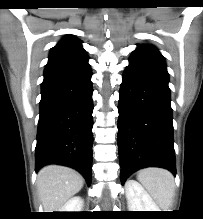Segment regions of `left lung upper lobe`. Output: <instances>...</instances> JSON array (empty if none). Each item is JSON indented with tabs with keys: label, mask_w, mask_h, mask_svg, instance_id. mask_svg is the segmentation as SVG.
Returning a JSON list of instances; mask_svg holds the SVG:
<instances>
[{
	"label": "left lung upper lobe",
	"mask_w": 203,
	"mask_h": 219,
	"mask_svg": "<svg viewBox=\"0 0 203 219\" xmlns=\"http://www.w3.org/2000/svg\"><path fill=\"white\" fill-rule=\"evenodd\" d=\"M131 57L144 58L165 65L164 57L152 45L138 44L137 49L133 51V55H131Z\"/></svg>",
	"instance_id": "left-lung-upper-lobe-1"
}]
</instances>
